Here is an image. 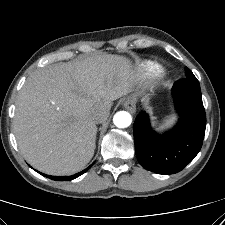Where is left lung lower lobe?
Here are the masks:
<instances>
[{"label": "left lung lower lobe", "mask_w": 225, "mask_h": 225, "mask_svg": "<svg viewBox=\"0 0 225 225\" xmlns=\"http://www.w3.org/2000/svg\"><path fill=\"white\" fill-rule=\"evenodd\" d=\"M179 110L178 125L163 136L150 129L148 115L139 113L134 122L135 152L145 169L158 174L181 171L198 154L206 128V115L198 80L183 79L173 86Z\"/></svg>", "instance_id": "0a47b994"}]
</instances>
